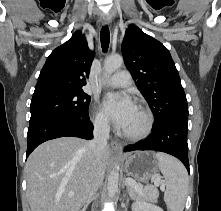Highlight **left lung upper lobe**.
I'll list each match as a JSON object with an SVG mask.
<instances>
[{"label":"left lung upper lobe","instance_id":"obj_1","mask_svg":"<svg viewBox=\"0 0 221 211\" xmlns=\"http://www.w3.org/2000/svg\"><path fill=\"white\" fill-rule=\"evenodd\" d=\"M122 54L136 86L155 115L157 125L176 116H188L186 95L168 49L136 25L126 30Z\"/></svg>","mask_w":221,"mask_h":211}]
</instances>
